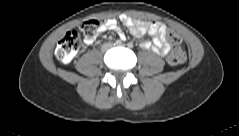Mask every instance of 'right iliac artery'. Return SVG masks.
Segmentation results:
<instances>
[{
    "label": "right iliac artery",
    "instance_id": "82829eb1",
    "mask_svg": "<svg viewBox=\"0 0 239 136\" xmlns=\"http://www.w3.org/2000/svg\"><path fill=\"white\" fill-rule=\"evenodd\" d=\"M115 44H116V45H121L122 42H121L120 40H117V41L115 42Z\"/></svg>",
    "mask_w": 239,
    "mask_h": 136
}]
</instances>
